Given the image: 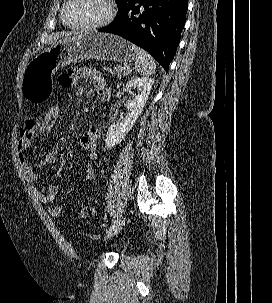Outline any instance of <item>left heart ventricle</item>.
Instances as JSON below:
<instances>
[{"label": "left heart ventricle", "mask_w": 272, "mask_h": 303, "mask_svg": "<svg viewBox=\"0 0 272 303\" xmlns=\"http://www.w3.org/2000/svg\"><path fill=\"white\" fill-rule=\"evenodd\" d=\"M107 11L105 0H73L66 17L73 24L94 23L104 19Z\"/></svg>", "instance_id": "left-heart-ventricle-1"}]
</instances>
